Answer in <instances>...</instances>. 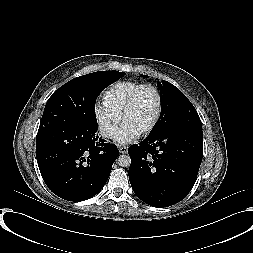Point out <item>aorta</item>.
<instances>
[{"label": "aorta", "mask_w": 253, "mask_h": 253, "mask_svg": "<svg viewBox=\"0 0 253 253\" xmlns=\"http://www.w3.org/2000/svg\"><path fill=\"white\" fill-rule=\"evenodd\" d=\"M117 163L121 167H129L131 164V158L129 155L122 154L117 158Z\"/></svg>", "instance_id": "aorta-1"}]
</instances>
